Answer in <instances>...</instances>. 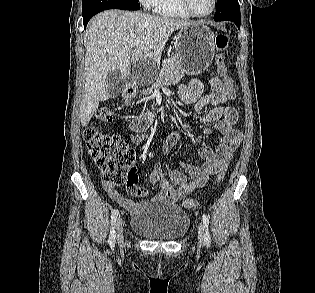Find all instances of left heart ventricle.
I'll use <instances>...</instances> for the list:
<instances>
[{
	"mask_svg": "<svg viewBox=\"0 0 315 293\" xmlns=\"http://www.w3.org/2000/svg\"><path fill=\"white\" fill-rule=\"evenodd\" d=\"M193 10L198 14H206L212 7V0H190Z\"/></svg>",
	"mask_w": 315,
	"mask_h": 293,
	"instance_id": "obj_1",
	"label": "left heart ventricle"
}]
</instances>
